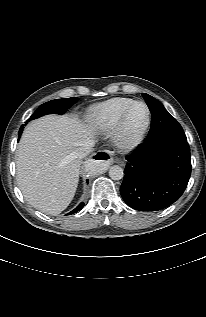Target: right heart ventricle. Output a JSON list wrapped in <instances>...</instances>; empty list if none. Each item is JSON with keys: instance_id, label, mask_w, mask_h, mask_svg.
Listing matches in <instances>:
<instances>
[{"instance_id": "right-heart-ventricle-1", "label": "right heart ventricle", "mask_w": 206, "mask_h": 317, "mask_svg": "<svg viewBox=\"0 0 206 317\" xmlns=\"http://www.w3.org/2000/svg\"><path fill=\"white\" fill-rule=\"evenodd\" d=\"M133 102V99L125 97L109 99L92 107L87 119L102 130H111L115 127L121 113Z\"/></svg>"}]
</instances>
